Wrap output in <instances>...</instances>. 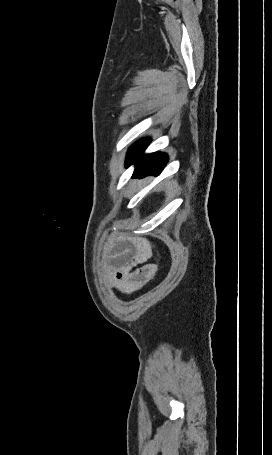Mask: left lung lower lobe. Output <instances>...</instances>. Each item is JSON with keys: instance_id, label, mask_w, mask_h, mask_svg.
Listing matches in <instances>:
<instances>
[{"instance_id": "0a47b994", "label": "left lung lower lobe", "mask_w": 272, "mask_h": 455, "mask_svg": "<svg viewBox=\"0 0 272 455\" xmlns=\"http://www.w3.org/2000/svg\"><path fill=\"white\" fill-rule=\"evenodd\" d=\"M150 139H141L135 143L129 150L126 159V165L130 166L135 163V171L133 177H143L146 175H158L166 165L168 157L164 153H152L143 155L144 150L148 146Z\"/></svg>"}]
</instances>
